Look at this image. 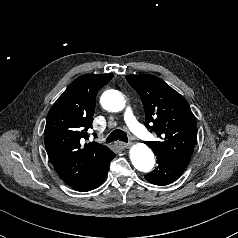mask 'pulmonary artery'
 <instances>
[{"label": "pulmonary artery", "instance_id": "obj_1", "mask_svg": "<svg viewBox=\"0 0 238 238\" xmlns=\"http://www.w3.org/2000/svg\"><path fill=\"white\" fill-rule=\"evenodd\" d=\"M124 119L130 130L142 139H148L149 133L146 129L138 122L136 119L132 108L130 106L126 107L124 112Z\"/></svg>", "mask_w": 238, "mask_h": 238}]
</instances>
